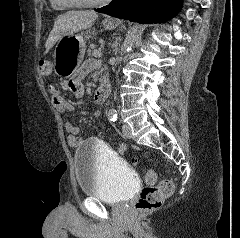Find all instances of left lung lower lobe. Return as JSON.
I'll list each match as a JSON object with an SVG mask.
<instances>
[{"mask_svg":"<svg viewBox=\"0 0 240 238\" xmlns=\"http://www.w3.org/2000/svg\"><path fill=\"white\" fill-rule=\"evenodd\" d=\"M182 0H113L95 11L140 23H160L174 17Z\"/></svg>","mask_w":240,"mask_h":238,"instance_id":"left-lung-lower-lobe-1","label":"left lung lower lobe"}]
</instances>
